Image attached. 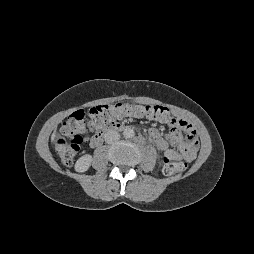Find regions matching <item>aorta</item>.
<instances>
[{
    "instance_id": "762f6f07",
    "label": "aorta",
    "mask_w": 254,
    "mask_h": 254,
    "mask_svg": "<svg viewBox=\"0 0 254 254\" xmlns=\"http://www.w3.org/2000/svg\"><path fill=\"white\" fill-rule=\"evenodd\" d=\"M125 138H133L135 136V132L132 128H126L123 132Z\"/></svg>"
}]
</instances>
